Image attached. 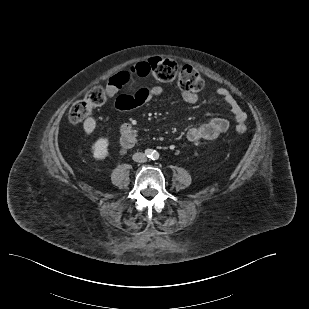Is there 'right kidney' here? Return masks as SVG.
<instances>
[{
	"label": "right kidney",
	"instance_id": "ca27d5eb",
	"mask_svg": "<svg viewBox=\"0 0 309 309\" xmlns=\"http://www.w3.org/2000/svg\"><path fill=\"white\" fill-rule=\"evenodd\" d=\"M108 139L100 138L92 146L93 157L97 160H103L108 155Z\"/></svg>",
	"mask_w": 309,
	"mask_h": 309
}]
</instances>
